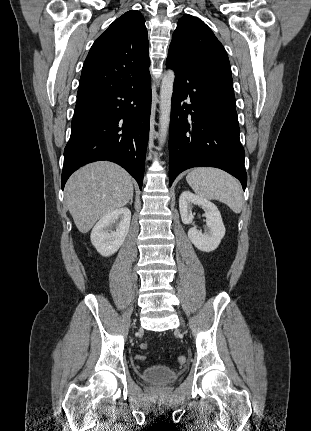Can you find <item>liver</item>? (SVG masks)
<instances>
[{
    "mask_svg": "<svg viewBox=\"0 0 311 431\" xmlns=\"http://www.w3.org/2000/svg\"><path fill=\"white\" fill-rule=\"evenodd\" d=\"M65 190L76 227L87 233L99 217L129 204L134 188L131 176L117 164L94 162L74 172Z\"/></svg>",
    "mask_w": 311,
    "mask_h": 431,
    "instance_id": "6515ba94",
    "label": "liver"
}]
</instances>
